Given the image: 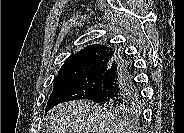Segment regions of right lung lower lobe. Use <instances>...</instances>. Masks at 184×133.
Wrapping results in <instances>:
<instances>
[{"mask_svg":"<svg viewBox=\"0 0 184 133\" xmlns=\"http://www.w3.org/2000/svg\"><path fill=\"white\" fill-rule=\"evenodd\" d=\"M92 101L99 104L112 103L116 105L140 101V94L133 79L132 67L120 51H115L109 68L103 74L102 89Z\"/></svg>","mask_w":184,"mask_h":133,"instance_id":"1","label":"right lung lower lobe"}]
</instances>
